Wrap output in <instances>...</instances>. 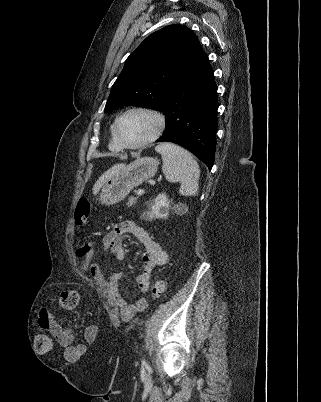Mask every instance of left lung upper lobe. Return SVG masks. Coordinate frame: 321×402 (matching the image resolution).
I'll return each mask as SVG.
<instances>
[{"mask_svg":"<svg viewBox=\"0 0 321 402\" xmlns=\"http://www.w3.org/2000/svg\"><path fill=\"white\" fill-rule=\"evenodd\" d=\"M203 55L198 38L185 26L152 33L127 58L105 112L127 105L162 111L167 96Z\"/></svg>","mask_w":321,"mask_h":402,"instance_id":"5c2ea615","label":"left lung upper lobe"}]
</instances>
